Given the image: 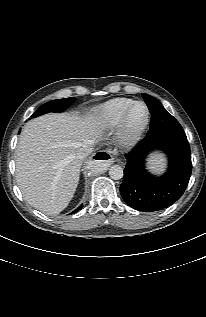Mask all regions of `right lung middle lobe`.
<instances>
[{
  "label": "right lung middle lobe",
  "instance_id": "1",
  "mask_svg": "<svg viewBox=\"0 0 206 317\" xmlns=\"http://www.w3.org/2000/svg\"><path fill=\"white\" fill-rule=\"evenodd\" d=\"M74 101L75 97L52 100L41 105L31 117H38L49 112H62L66 108H68Z\"/></svg>",
  "mask_w": 206,
  "mask_h": 317
}]
</instances>
